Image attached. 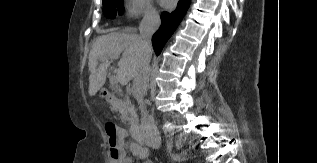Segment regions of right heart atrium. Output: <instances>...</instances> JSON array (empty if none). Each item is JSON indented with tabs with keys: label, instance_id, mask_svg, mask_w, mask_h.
<instances>
[{
	"label": "right heart atrium",
	"instance_id": "1",
	"mask_svg": "<svg viewBox=\"0 0 317 163\" xmlns=\"http://www.w3.org/2000/svg\"><path fill=\"white\" fill-rule=\"evenodd\" d=\"M124 9L129 18L152 17L156 14L151 0H124Z\"/></svg>",
	"mask_w": 317,
	"mask_h": 163
}]
</instances>
